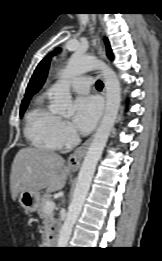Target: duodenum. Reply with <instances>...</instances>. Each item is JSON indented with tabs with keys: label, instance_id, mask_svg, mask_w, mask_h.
<instances>
[{
	"label": "duodenum",
	"instance_id": "410a0bca",
	"mask_svg": "<svg viewBox=\"0 0 162 261\" xmlns=\"http://www.w3.org/2000/svg\"><path fill=\"white\" fill-rule=\"evenodd\" d=\"M49 245H55L56 244V235L54 233H50L48 235V240H47Z\"/></svg>",
	"mask_w": 162,
	"mask_h": 261
}]
</instances>
